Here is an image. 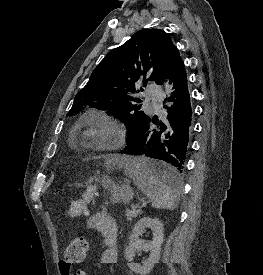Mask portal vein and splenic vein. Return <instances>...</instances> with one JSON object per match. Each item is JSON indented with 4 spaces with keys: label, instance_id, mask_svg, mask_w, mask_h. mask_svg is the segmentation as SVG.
<instances>
[{
    "label": "portal vein and splenic vein",
    "instance_id": "portal-vein-and-splenic-vein-1",
    "mask_svg": "<svg viewBox=\"0 0 263 275\" xmlns=\"http://www.w3.org/2000/svg\"><path fill=\"white\" fill-rule=\"evenodd\" d=\"M146 204H147L146 202H143L142 206H145ZM138 207H139V205H136L133 208H138Z\"/></svg>",
    "mask_w": 263,
    "mask_h": 275
}]
</instances>
